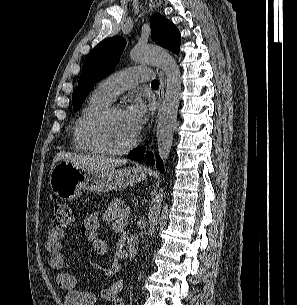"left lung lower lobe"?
Listing matches in <instances>:
<instances>
[{
	"instance_id": "1",
	"label": "left lung lower lobe",
	"mask_w": 297,
	"mask_h": 305,
	"mask_svg": "<svg viewBox=\"0 0 297 305\" xmlns=\"http://www.w3.org/2000/svg\"><path fill=\"white\" fill-rule=\"evenodd\" d=\"M144 155V148L143 147H138L137 149L133 150L129 155L128 158L131 160H141L143 158ZM146 159L147 162L150 165H154V158L152 153H147L146 154ZM156 167L160 170V171H164L163 169V165H162V161L159 157L156 158Z\"/></svg>"
}]
</instances>
